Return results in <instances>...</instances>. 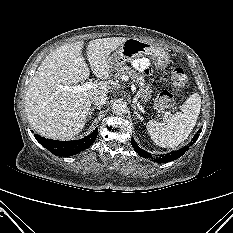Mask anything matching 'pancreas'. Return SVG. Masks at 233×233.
I'll return each instance as SVG.
<instances>
[{
    "label": "pancreas",
    "instance_id": "cf45deb5",
    "mask_svg": "<svg viewBox=\"0 0 233 233\" xmlns=\"http://www.w3.org/2000/svg\"><path fill=\"white\" fill-rule=\"evenodd\" d=\"M123 75H127L131 78L132 82L142 84L144 82L143 76L140 73H137L131 67L124 66L117 69L115 78L120 79Z\"/></svg>",
    "mask_w": 233,
    "mask_h": 233
}]
</instances>
